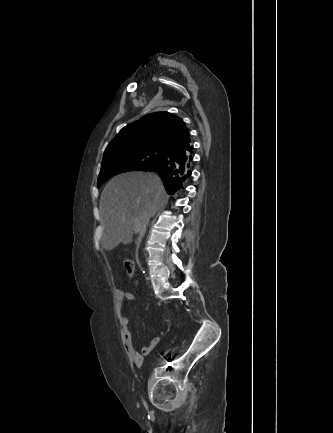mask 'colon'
Masks as SVG:
<instances>
[{
    "instance_id": "colon-1",
    "label": "colon",
    "mask_w": 333,
    "mask_h": 433,
    "mask_svg": "<svg viewBox=\"0 0 333 433\" xmlns=\"http://www.w3.org/2000/svg\"><path fill=\"white\" fill-rule=\"evenodd\" d=\"M124 268L128 276H132L135 272V264L130 258H125Z\"/></svg>"
}]
</instances>
